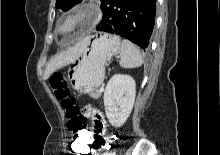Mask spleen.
Returning a JSON list of instances; mask_svg holds the SVG:
<instances>
[{"instance_id": "1", "label": "spleen", "mask_w": 220, "mask_h": 155, "mask_svg": "<svg viewBox=\"0 0 220 155\" xmlns=\"http://www.w3.org/2000/svg\"><path fill=\"white\" fill-rule=\"evenodd\" d=\"M120 66L126 69L140 67L142 56L136 46L129 40H123L120 50Z\"/></svg>"}]
</instances>
